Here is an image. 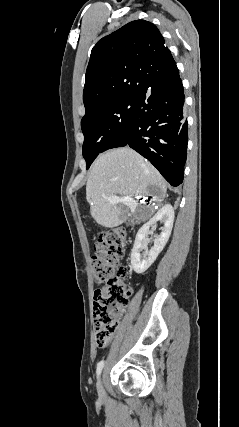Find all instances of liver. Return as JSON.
<instances>
[{
	"instance_id": "6515ba94",
	"label": "liver",
	"mask_w": 239,
	"mask_h": 427,
	"mask_svg": "<svg viewBox=\"0 0 239 427\" xmlns=\"http://www.w3.org/2000/svg\"><path fill=\"white\" fill-rule=\"evenodd\" d=\"M151 186L159 189V196L153 200L161 202L167 185L154 166L129 147L107 151L92 164L86 184L91 216L103 227H116L134 214L136 205L111 204L108 196H148Z\"/></svg>"
}]
</instances>
